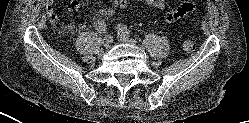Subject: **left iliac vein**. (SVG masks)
<instances>
[{"label": "left iliac vein", "mask_w": 249, "mask_h": 123, "mask_svg": "<svg viewBox=\"0 0 249 123\" xmlns=\"http://www.w3.org/2000/svg\"><path fill=\"white\" fill-rule=\"evenodd\" d=\"M118 38L120 39V41L125 42V43H130V44H136L135 39H133L132 37L125 35L123 33L118 32Z\"/></svg>", "instance_id": "1"}]
</instances>
